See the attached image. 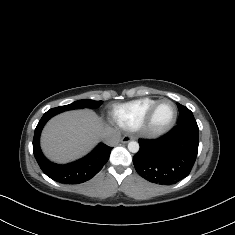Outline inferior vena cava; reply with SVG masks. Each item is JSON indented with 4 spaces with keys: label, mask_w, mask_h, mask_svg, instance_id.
I'll use <instances>...</instances> for the list:
<instances>
[{
    "label": "inferior vena cava",
    "mask_w": 235,
    "mask_h": 235,
    "mask_svg": "<svg viewBox=\"0 0 235 235\" xmlns=\"http://www.w3.org/2000/svg\"><path fill=\"white\" fill-rule=\"evenodd\" d=\"M101 139L105 144L115 147L119 143L120 133L114 130H109L101 135Z\"/></svg>",
    "instance_id": "obj_1"
}]
</instances>
